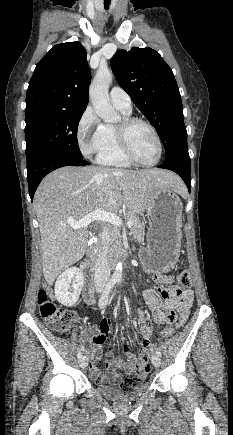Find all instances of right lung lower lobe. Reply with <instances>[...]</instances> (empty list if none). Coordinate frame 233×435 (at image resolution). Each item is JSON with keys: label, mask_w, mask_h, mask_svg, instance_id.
I'll list each match as a JSON object with an SVG mask.
<instances>
[{"label": "right lung lower lobe", "mask_w": 233, "mask_h": 435, "mask_svg": "<svg viewBox=\"0 0 233 435\" xmlns=\"http://www.w3.org/2000/svg\"><path fill=\"white\" fill-rule=\"evenodd\" d=\"M87 164L90 163L83 158L60 151H43L27 158V180L31 200L41 180L51 171L63 166H85Z\"/></svg>", "instance_id": "1"}]
</instances>
